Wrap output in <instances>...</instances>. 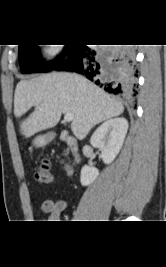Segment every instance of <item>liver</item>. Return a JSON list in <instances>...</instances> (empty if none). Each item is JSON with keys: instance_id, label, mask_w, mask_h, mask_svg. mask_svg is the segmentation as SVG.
Segmentation results:
<instances>
[{"instance_id": "liver-1", "label": "liver", "mask_w": 166, "mask_h": 267, "mask_svg": "<svg viewBox=\"0 0 166 267\" xmlns=\"http://www.w3.org/2000/svg\"><path fill=\"white\" fill-rule=\"evenodd\" d=\"M34 112L20 124L23 136L53 128L62 114L71 113L74 118L71 129L83 139L96 124L123 113V105L102 89L77 75L49 73L21 80L15 89L14 114L20 118L30 108Z\"/></svg>"}]
</instances>
